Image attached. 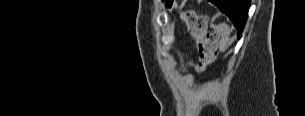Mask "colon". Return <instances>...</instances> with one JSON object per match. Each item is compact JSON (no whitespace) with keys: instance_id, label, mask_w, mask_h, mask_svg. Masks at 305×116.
<instances>
[{"instance_id":"5ec220e1","label":"colon","mask_w":305,"mask_h":116,"mask_svg":"<svg viewBox=\"0 0 305 116\" xmlns=\"http://www.w3.org/2000/svg\"><path fill=\"white\" fill-rule=\"evenodd\" d=\"M172 6V4H171ZM189 34L195 39L198 52L196 70L203 72L215 59L218 34L207 29V18L193 10L179 13Z\"/></svg>"}]
</instances>
